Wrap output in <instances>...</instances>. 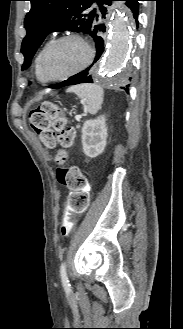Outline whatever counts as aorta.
Listing matches in <instances>:
<instances>
[{"label": "aorta", "instance_id": "obj_1", "mask_svg": "<svg viewBox=\"0 0 183 329\" xmlns=\"http://www.w3.org/2000/svg\"><path fill=\"white\" fill-rule=\"evenodd\" d=\"M131 45V18L122 8L111 20L106 56L100 67L102 78L108 82L120 81Z\"/></svg>", "mask_w": 183, "mask_h": 329}]
</instances>
